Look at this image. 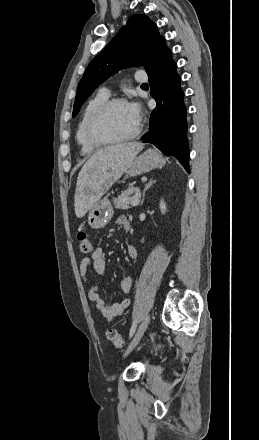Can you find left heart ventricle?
<instances>
[{"instance_id":"1","label":"left heart ventricle","mask_w":259,"mask_h":440,"mask_svg":"<svg viewBox=\"0 0 259 440\" xmlns=\"http://www.w3.org/2000/svg\"><path fill=\"white\" fill-rule=\"evenodd\" d=\"M137 125L128 104H117L98 125L97 133L104 138H121L132 133Z\"/></svg>"}]
</instances>
